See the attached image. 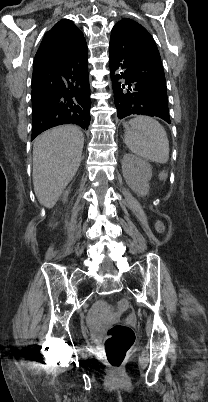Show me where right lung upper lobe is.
Instances as JSON below:
<instances>
[{
    "label": "right lung upper lobe",
    "instance_id": "obj_1",
    "mask_svg": "<svg viewBox=\"0 0 208 402\" xmlns=\"http://www.w3.org/2000/svg\"><path fill=\"white\" fill-rule=\"evenodd\" d=\"M83 39V33L72 21L62 19L45 34L34 61L64 54L74 49Z\"/></svg>",
    "mask_w": 208,
    "mask_h": 402
}]
</instances>
